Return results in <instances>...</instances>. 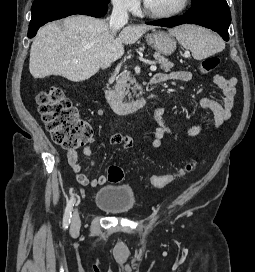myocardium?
I'll return each instance as SVG.
<instances>
[{"mask_svg":"<svg viewBox=\"0 0 255 272\" xmlns=\"http://www.w3.org/2000/svg\"><path fill=\"white\" fill-rule=\"evenodd\" d=\"M189 4H190V0H183L182 4L178 8L167 11V12L157 13V12H153V11L149 10L146 5V2H145L144 3V13L151 18H157V19L171 18V17L177 16V15L181 14L182 12H184L187 9V7L189 6Z\"/></svg>","mask_w":255,"mask_h":272,"instance_id":"obj_1","label":"myocardium"}]
</instances>
